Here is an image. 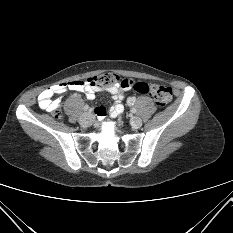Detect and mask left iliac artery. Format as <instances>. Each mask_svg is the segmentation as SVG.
<instances>
[{"label":"left iliac artery","mask_w":233,"mask_h":233,"mask_svg":"<svg viewBox=\"0 0 233 233\" xmlns=\"http://www.w3.org/2000/svg\"><path fill=\"white\" fill-rule=\"evenodd\" d=\"M131 112H132V113H136L137 110H136L135 108H132V109H131Z\"/></svg>","instance_id":"obj_1"}]
</instances>
